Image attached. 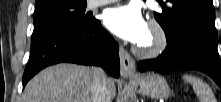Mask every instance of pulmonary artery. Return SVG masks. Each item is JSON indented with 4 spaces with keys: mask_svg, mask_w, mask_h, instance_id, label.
<instances>
[{
    "mask_svg": "<svg viewBox=\"0 0 221 102\" xmlns=\"http://www.w3.org/2000/svg\"><path fill=\"white\" fill-rule=\"evenodd\" d=\"M118 0H91L90 1V7L95 8V7H99L108 3H113L116 2Z\"/></svg>",
    "mask_w": 221,
    "mask_h": 102,
    "instance_id": "1",
    "label": "pulmonary artery"
}]
</instances>
